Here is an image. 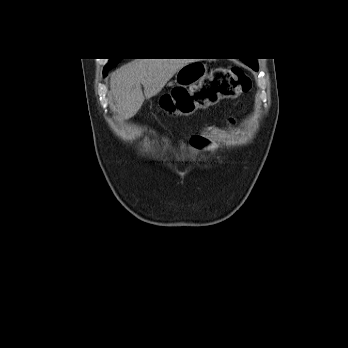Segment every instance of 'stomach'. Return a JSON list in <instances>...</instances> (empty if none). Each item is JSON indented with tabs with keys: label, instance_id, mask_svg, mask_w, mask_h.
Segmentation results:
<instances>
[{
	"label": "stomach",
	"instance_id": "0dacf381",
	"mask_svg": "<svg viewBox=\"0 0 348 348\" xmlns=\"http://www.w3.org/2000/svg\"><path fill=\"white\" fill-rule=\"evenodd\" d=\"M207 73V67L201 62H192L180 68L175 76V87L182 90L185 96L184 104L180 113L190 115L197 109H204L214 104L216 99H210L205 96L200 89L188 90L193 87Z\"/></svg>",
	"mask_w": 348,
	"mask_h": 348
}]
</instances>
